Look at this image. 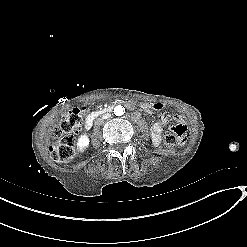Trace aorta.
<instances>
[{
    "label": "aorta",
    "instance_id": "1",
    "mask_svg": "<svg viewBox=\"0 0 247 247\" xmlns=\"http://www.w3.org/2000/svg\"><path fill=\"white\" fill-rule=\"evenodd\" d=\"M125 113V108L121 105H118L114 108V114L116 116H122Z\"/></svg>",
    "mask_w": 247,
    "mask_h": 247
}]
</instances>
